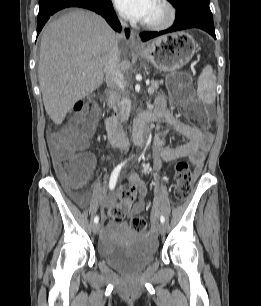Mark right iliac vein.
<instances>
[{
    "label": "right iliac vein",
    "mask_w": 261,
    "mask_h": 306,
    "mask_svg": "<svg viewBox=\"0 0 261 306\" xmlns=\"http://www.w3.org/2000/svg\"><path fill=\"white\" fill-rule=\"evenodd\" d=\"M99 230H100V224L95 223V224L93 225V227H92L93 233H94V234H97V233L99 232Z\"/></svg>",
    "instance_id": "obj_1"
}]
</instances>
